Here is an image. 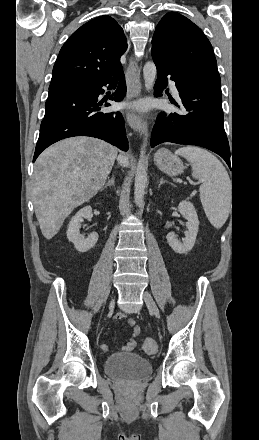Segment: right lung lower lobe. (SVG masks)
<instances>
[{"label": "right lung lower lobe", "mask_w": 259, "mask_h": 440, "mask_svg": "<svg viewBox=\"0 0 259 440\" xmlns=\"http://www.w3.org/2000/svg\"><path fill=\"white\" fill-rule=\"evenodd\" d=\"M117 80L118 87L110 99L119 102L126 93L122 69L103 81L49 90L33 162L51 144L73 136L96 137L127 151L128 140L122 115L119 112H100L102 103L97 102L98 96L104 93L102 87L108 84L110 88Z\"/></svg>", "instance_id": "obj_1"}]
</instances>
